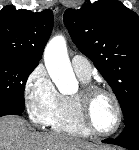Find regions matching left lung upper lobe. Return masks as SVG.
Masks as SVG:
<instances>
[{
  "label": "left lung upper lobe",
  "instance_id": "1",
  "mask_svg": "<svg viewBox=\"0 0 139 150\" xmlns=\"http://www.w3.org/2000/svg\"><path fill=\"white\" fill-rule=\"evenodd\" d=\"M64 23L78 49L109 83L125 125L139 110V17L117 0L67 9Z\"/></svg>",
  "mask_w": 139,
  "mask_h": 150
}]
</instances>
